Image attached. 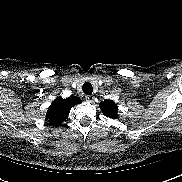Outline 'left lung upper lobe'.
<instances>
[{"label":"left lung upper lobe","mask_w":182,"mask_h":182,"mask_svg":"<svg viewBox=\"0 0 182 182\" xmlns=\"http://www.w3.org/2000/svg\"><path fill=\"white\" fill-rule=\"evenodd\" d=\"M102 113L109 118L116 119L118 114V106L112 100H104L100 103Z\"/></svg>","instance_id":"obj_1"}]
</instances>
